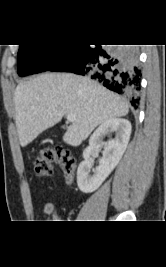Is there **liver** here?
I'll use <instances>...</instances> for the list:
<instances>
[{
	"instance_id": "1",
	"label": "liver",
	"mask_w": 166,
	"mask_h": 267,
	"mask_svg": "<svg viewBox=\"0 0 166 267\" xmlns=\"http://www.w3.org/2000/svg\"><path fill=\"white\" fill-rule=\"evenodd\" d=\"M15 123L22 147L57 124L64 115H75L63 141L78 146L101 123L126 116L128 104L87 77L44 73L18 84Z\"/></svg>"
}]
</instances>
